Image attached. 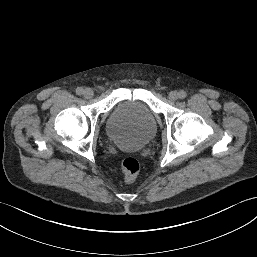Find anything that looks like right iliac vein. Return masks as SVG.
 Here are the masks:
<instances>
[{"instance_id":"obj_1","label":"right iliac vein","mask_w":257,"mask_h":257,"mask_svg":"<svg viewBox=\"0 0 257 257\" xmlns=\"http://www.w3.org/2000/svg\"><path fill=\"white\" fill-rule=\"evenodd\" d=\"M83 95L85 98H92L94 95V92L91 88H86L83 92Z\"/></svg>"}]
</instances>
